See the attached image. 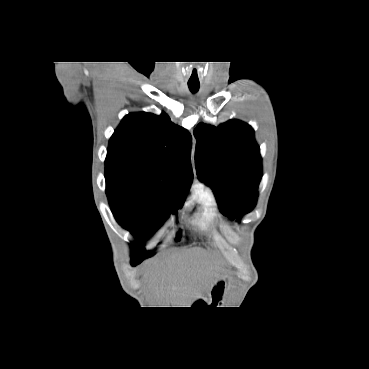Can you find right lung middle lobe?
I'll return each instance as SVG.
<instances>
[{
  "label": "right lung middle lobe",
  "instance_id": "dd1d6c3e",
  "mask_svg": "<svg viewBox=\"0 0 369 369\" xmlns=\"http://www.w3.org/2000/svg\"><path fill=\"white\" fill-rule=\"evenodd\" d=\"M106 194L116 221L137 239L152 236L171 213L183 202H174L168 195L139 187L129 178L106 176ZM180 233L176 240L180 239ZM132 262L139 263L149 256L141 243H132Z\"/></svg>",
  "mask_w": 369,
  "mask_h": 369
}]
</instances>
